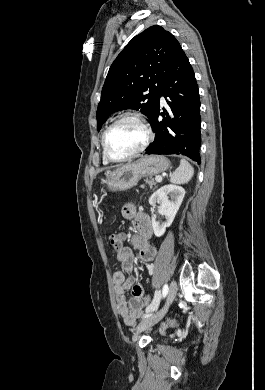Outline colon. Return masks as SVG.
Segmentation results:
<instances>
[{"label":"colon","mask_w":265,"mask_h":390,"mask_svg":"<svg viewBox=\"0 0 265 390\" xmlns=\"http://www.w3.org/2000/svg\"><path fill=\"white\" fill-rule=\"evenodd\" d=\"M107 243L110 247H112V249L115 251L117 248H118V237L116 234H109L107 236ZM143 302H144V305L147 309V311H150V310H153L155 307H156V301L154 300H151L148 296H144L143 297ZM167 323L171 326H178V322L174 319H168L167 320Z\"/></svg>","instance_id":"1"}]
</instances>
